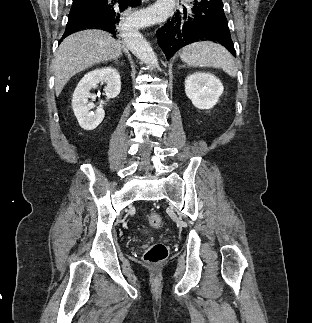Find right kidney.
Here are the masks:
<instances>
[{"label":"right kidney","mask_w":312,"mask_h":323,"mask_svg":"<svg viewBox=\"0 0 312 323\" xmlns=\"http://www.w3.org/2000/svg\"><path fill=\"white\" fill-rule=\"evenodd\" d=\"M98 84H106L104 92L107 100L117 98L120 94V76L115 68L106 66V68H98V70L85 74L75 88L72 98L73 112L83 130H95L105 116L103 106H97L95 112H90L95 108L93 102H88L89 98L94 96V94H90V90L98 88Z\"/></svg>","instance_id":"obj_1"}]
</instances>
